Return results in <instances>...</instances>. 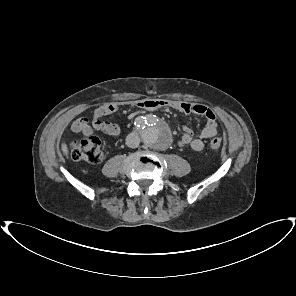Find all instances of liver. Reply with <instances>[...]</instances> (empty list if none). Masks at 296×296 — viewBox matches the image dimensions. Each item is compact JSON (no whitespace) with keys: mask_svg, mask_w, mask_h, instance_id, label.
<instances>
[{"mask_svg":"<svg viewBox=\"0 0 296 296\" xmlns=\"http://www.w3.org/2000/svg\"><path fill=\"white\" fill-rule=\"evenodd\" d=\"M61 149H62V152L65 156H68V147L65 143H62L61 145Z\"/></svg>","mask_w":296,"mask_h":296,"instance_id":"1","label":"liver"}]
</instances>
